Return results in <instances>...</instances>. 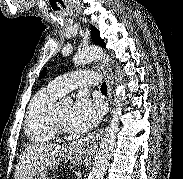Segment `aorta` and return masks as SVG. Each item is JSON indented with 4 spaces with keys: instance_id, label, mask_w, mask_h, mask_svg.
I'll return each mask as SVG.
<instances>
[{
    "instance_id": "aorta-1",
    "label": "aorta",
    "mask_w": 183,
    "mask_h": 179,
    "mask_svg": "<svg viewBox=\"0 0 183 179\" xmlns=\"http://www.w3.org/2000/svg\"><path fill=\"white\" fill-rule=\"evenodd\" d=\"M105 58L107 61H111L108 55L105 52L97 47V46H90L88 48L80 50L74 57L73 62L75 65H83L89 62H93L94 60ZM116 81H117V88L115 91V98H114V109L112 112V117L109 121L108 126L104 132L103 138L101 140L100 147L96 153L94 158V163L92 170L89 174L88 179H103L106 169L108 167L109 160L112 156V152L115 147L116 143V136L119 127V120L122 115V106L123 101L125 100L126 96V87L124 84V76L120 71V67L117 64L116 67ZM65 103H71V98H65Z\"/></svg>"
}]
</instances>
